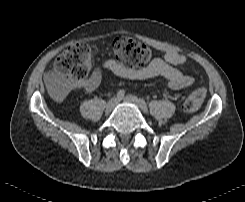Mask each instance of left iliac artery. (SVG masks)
<instances>
[{
    "instance_id": "obj_1",
    "label": "left iliac artery",
    "mask_w": 245,
    "mask_h": 202,
    "mask_svg": "<svg viewBox=\"0 0 245 202\" xmlns=\"http://www.w3.org/2000/svg\"><path fill=\"white\" fill-rule=\"evenodd\" d=\"M139 101H140V105H141V108L143 109V111L148 112V107H147V104L144 101V99L140 98Z\"/></svg>"
}]
</instances>
